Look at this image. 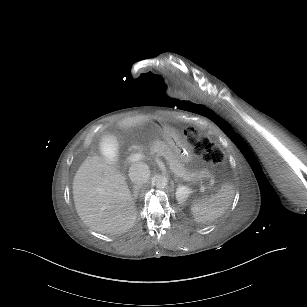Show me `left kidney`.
<instances>
[{
  "label": "left kidney",
  "instance_id": "1",
  "mask_svg": "<svg viewBox=\"0 0 307 307\" xmlns=\"http://www.w3.org/2000/svg\"><path fill=\"white\" fill-rule=\"evenodd\" d=\"M191 191L185 186H179L176 191V197L179 202H183Z\"/></svg>",
  "mask_w": 307,
  "mask_h": 307
}]
</instances>
